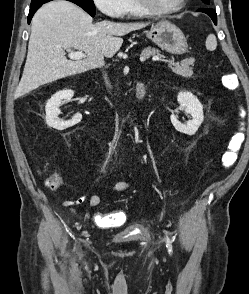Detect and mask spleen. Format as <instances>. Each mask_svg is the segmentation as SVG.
I'll use <instances>...</instances> for the list:
<instances>
[{
  "label": "spleen",
  "instance_id": "spleen-1",
  "mask_svg": "<svg viewBox=\"0 0 249 294\" xmlns=\"http://www.w3.org/2000/svg\"><path fill=\"white\" fill-rule=\"evenodd\" d=\"M217 47V40L214 34L208 35L206 39V48L210 51L215 50Z\"/></svg>",
  "mask_w": 249,
  "mask_h": 294
}]
</instances>
